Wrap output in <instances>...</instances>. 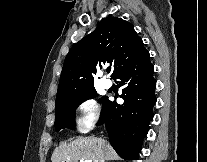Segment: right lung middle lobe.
<instances>
[{"mask_svg":"<svg viewBox=\"0 0 207 162\" xmlns=\"http://www.w3.org/2000/svg\"><path fill=\"white\" fill-rule=\"evenodd\" d=\"M97 93L90 90L78 95L65 96L56 99L55 105V128L59 131L62 128H72L75 122L76 108L85 100L95 98ZM108 101L107 97H102L101 102L103 106Z\"/></svg>","mask_w":207,"mask_h":162,"instance_id":"dd1d6c3e","label":"right lung middle lobe"}]
</instances>
